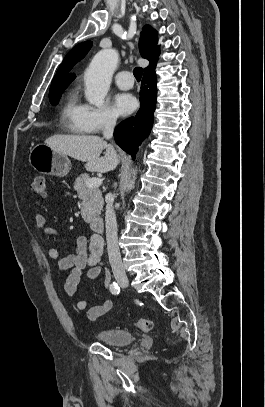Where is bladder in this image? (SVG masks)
Instances as JSON below:
<instances>
[{
	"label": "bladder",
	"instance_id": "obj_1",
	"mask_svg": "<svg viewBox=\"0 0 265 407\" xmlns=\"http://www.w3.org/2000/svg\"><path fill=\"white\" fill-rule=\"evenodd\" d=\"M95 337L98 341L111 346L128 345L134 340L132 332L120 328L99 330L95 333Z\"/></svg>",
	"mask_w": 265,
	"mask_h": 407
}]
</instances>
